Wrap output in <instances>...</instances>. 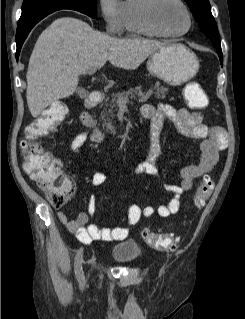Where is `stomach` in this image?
I'll return each instance as SVG.
<instances>
[{
    "label": "stomach",
    "instance_id": "obj_1",
    "mask_svg": "<svg viewBox=\"0 0 245 319\" xmlns=\"http://www.w3.org/2000/svg\"><path fill=\"white\" fill-rule=\"evenodd\" d=\"M149 72L170 85H180L199 69L194 52L182 44H168L154 51L147 61Z\"/></svg>",
    "mask_w": 245,
    "mask_h": 319
}]
</instances>
